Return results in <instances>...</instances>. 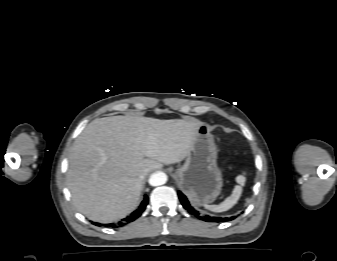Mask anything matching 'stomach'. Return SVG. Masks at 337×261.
Instances as JSON below:
<instances>
[{"instance_id":"1","label":"stomach","mask_w":337,"mask_h":261,"mask_svg":"<svg viewBox=\"0 0 337 261\" xmlns=\"http://www.w3.org/2000/svg\"><path fill=\"white\" fill-rule=\"evenodd\" d=\"M175 174L181 190L197 205L212 203L221 193L223 179L217 149L206 124L198 128L186 161Z\"/></svg>"}]
</instances>
